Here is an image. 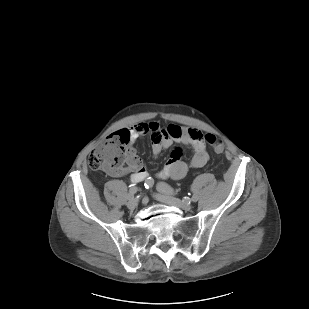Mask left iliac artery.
I'll use <instances>...</instances> for the list:
<instances>
[{
    "mask_svg": "<svg viewBox=\"0 0 309 309\" xmlns=\"http://www.w3.org/2000/svg\"><path fill=\"white\" fill-rule=\"evenodd\" d=\"M157 189L159 191H162V192H165V193H168V194H173V189L169 185H167L165 183H158ZM188 199L189 198L185 197L184 201L187 202ZM191 201L196 202L197 201V197L193 195L192 198H191Z\"/></svg>",
    "mask_w": 309,
    "mask_h": 309,
    "instance_id": "1",
    "label": "left iliac artery"
}]
</instances>
